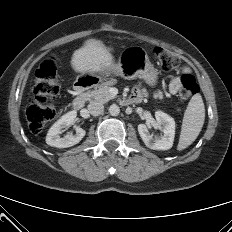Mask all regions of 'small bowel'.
<instances>
[{
	"mask_svg": "<svg viewBox=\"0 0 232 232\" xmlns=\"http://www.w3.org/2000/svg\"><path fill=\"white\" fill-rule=\"evenodd\" d=\"M183 71L184 72H189L190 70H189L188 67H185ZM179 89H180V79L179 78H173L169 82L168 91L171 94H176L179 91ZM147 94H148V91L146 90V88L139 84L134 88L132 96L138 97V98H140L142 100V98L144 96H146ZM154 96L158 97V98L162 97L163 96V91L162 90L155 91Z\"/></svg>",
	"mask_w": 232,
	"mask_h": 232,
	"instance_id": "small-bowel-1",
	"label": "small bowel"
}]
</instances>
